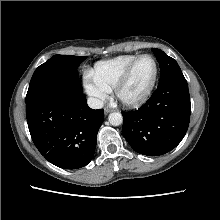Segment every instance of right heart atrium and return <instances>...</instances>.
Here are the masks:
<instances>
[{
    "instance_id": "right-heart-atrium-1",
    "label": "right heart atrium",
    "mask_w": 220,
    "mask_h": 220,
    "mask_svg": "<svg viewBox=\"0 0 220 220\" xmlns=\"http://www.w3.org/2000/svg\"><path fill=\"white\" fill-rule=\"evenodd\" d=\"M84 87L94 105H102L109 97L110 90L89 71L84 72Z\"/></svg>"
}]
</instances>
